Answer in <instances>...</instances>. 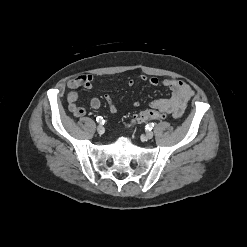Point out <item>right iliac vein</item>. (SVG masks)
Listing matches in <instances>:
<instances>
[{
    "mask_svg": "<svg viewBox=\"0 0 247 247\" xmlns=\"http://www.w3.org/2000/svg\"><path fill=\"white\" fill-rule=\"evenodd\" d=\"M97 132H98L99 134H103V133H104V127L101 126V125L97 126Z\"/></svg>",
    "mask_w": 247,
    "mask_h": 247,
    "instance_id": "right-iliac-vein-1",
    "label": "right iliac vein"
}]
</instances>
